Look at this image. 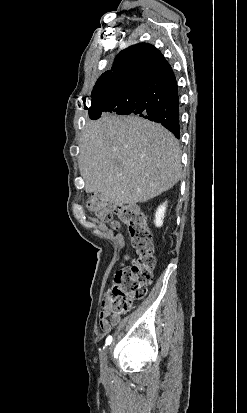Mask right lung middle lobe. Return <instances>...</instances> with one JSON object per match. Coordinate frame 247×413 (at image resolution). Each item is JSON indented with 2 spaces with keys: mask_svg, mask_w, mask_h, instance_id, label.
Segmentation results:
<instances>
[{
  "mask_svg": "<svg viewBox=\"0 0 247 413\" xmlns=\"http://www.w3.org/2000/svg\"><path fill=\"white\" fill-rule=\"evenodd\" d=\"M134 93V89L127 82L97 81L91 95V107L112 96L128 97L133 96Z\"/></svg>",
  "mask_w": 247,
  "mask_h": 413,
  "instance_id": "dd1d6c3e",
  "label": "right lung middle lobe"
}]
</instances>
